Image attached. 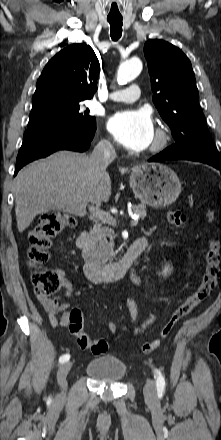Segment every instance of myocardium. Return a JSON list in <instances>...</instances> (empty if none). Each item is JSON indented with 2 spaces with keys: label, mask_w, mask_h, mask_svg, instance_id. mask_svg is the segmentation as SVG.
<instances>
[{
  "label": "myocardium",
  "mask_w": 221,
  "mask_h": 440,
  "mask_svg": "<svg viewBox=\"0 0 221 440\" xmlns=\"http://www.w3.org/2000/svg\"><path fill=\"white\" fill-rule=\"evenodd\" d=\"M170 133L165 125H158L155 129L154 138L149 148V152L157 153L162 151L168 145Z\"/></svg>",
  "instance_id": "obj_1"
}]
</instances>
